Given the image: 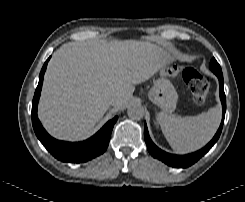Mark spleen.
Listing matches in <instances>:
<instances>
[{
	"label": "spleen",
	"instance_id": "spleen-1",
	"mask_svg": "<svg viewBox=\"0 0 245 202\" xmlns=\"http://www.w3.org/2000/svg\"><path fill=\"white\" fill-rule=\"evenodd\" d=\"M157 120L172 149L184 154L198 150L210 141L220 124L221 109L216 106L188 117L168 115L162 111L158 113Z\"/></svg>",
	"mask_w": 245,
	"mask_h": 202
}]
</instances>
